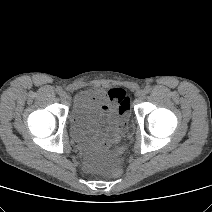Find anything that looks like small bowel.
<instances>
[{"instance_id":"small-bowel-1","label":"small bowel","mask_w":212,"mask_h":212,"mask_svg":"<svg viewBox=\"0 0 212 212\" xmlns=\"http://www.w3.org/2000/svg\"><path fill=\"white\" fill-rule=\"evenodd\" d=\"M124 94L125 91L122 89H111L107 98L99 99L89 112L88 122L92 124L97 136L109 142L118 141L126 132V127L116 110L118 99Z\"/></svg>"}]
</instances>
